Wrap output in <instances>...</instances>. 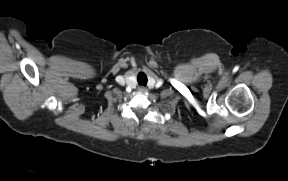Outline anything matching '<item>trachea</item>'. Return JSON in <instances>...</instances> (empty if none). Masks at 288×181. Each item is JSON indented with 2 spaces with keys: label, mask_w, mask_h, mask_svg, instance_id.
Segmentation results:
<instances>
[{
  "label": "trachea",
  "mask_w": 288,
  "mask_h": 181,
  "mask_svg": "<svg viewBox=\"0 0 288 181\" xmlns=\"http://www.w3.org/2000/svg\"><path fill=\"white\" fill-rule=\"evenodd\" d=\"M140 77L141 76H138V82L140 83ZM146 82H147V78L145 77V76H143V85H145L146 84Z\"/></svg>",
  "instance_id": "3493384b"
}]
</instances>
